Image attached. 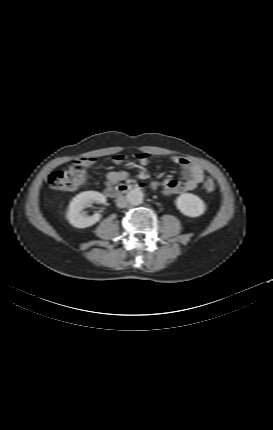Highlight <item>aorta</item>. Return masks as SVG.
<instances>
[{"label": "aorta", "instance_id": "aorta-1", "mask_svg": "<svg viewBox=\"0 0 273 430\" xmlns=\"http://www.w3.org/2000/svg\"><path fill=\"white\" fill-rule=\"evenodd\" d=\"M144 194L141 189L134 188L127 193V200L131 205H139L143 201Z\"/></svg>", "mask_w": 273, "mask_h": 430}]
</instances>
